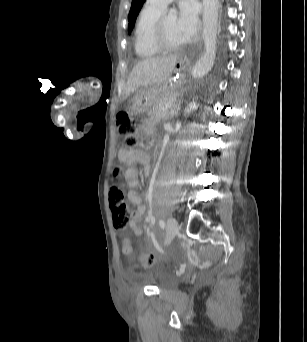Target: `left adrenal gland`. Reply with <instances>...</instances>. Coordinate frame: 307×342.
Masks as SVG:
<instances>
[{"instance_id":"a2214340","label":"left adrenal gland","mask_w":307,"mask_h":342,"mask_svg":"<svg viewBox=\"0 0 307 342\" xmlns=\"http://www.w3.org/2000/svg\"><path fill=\"white\" fill-rule=\"evenodd\" d=\"M181 104H182V100H178V102H175V104H173L172 110H170L169 118H174V116H177L178 110H180Z\"/></svg>"}]
</instances>
